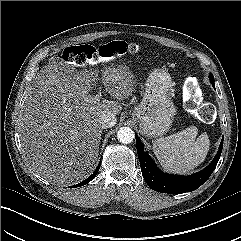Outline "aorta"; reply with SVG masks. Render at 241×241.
<instances>
[{
	"instance_id": "762f6f07",
	"label": "aorta",
	"mask_w": 241,
	"mask_h": 241,
	"mask_svg": "<svg viewBox=\"0 0 241 241\" xmlns=\"http://www.w3.org/2000/svg\"><path fill=\"white\" fill-rule=\"evenodd\" d=\"M134 137V131L130 127H121L117 132V139L123 144L131 143Z\"/></svg>"
}]
</instances>
